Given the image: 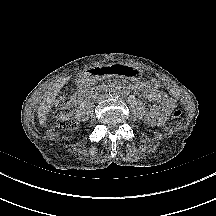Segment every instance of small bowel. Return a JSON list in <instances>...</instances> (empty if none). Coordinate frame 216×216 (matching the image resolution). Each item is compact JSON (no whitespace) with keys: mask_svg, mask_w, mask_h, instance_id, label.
<instances>
[{"mask_svg":"<svg viewBox=\"0 0 216 216\" xmlns=\"http://www.w3.org/2000/svg\"><path fill=\"white\" fill-rule=\"evenodd\" d=\"M135 89L145 95L146 98L156 103L150 109L146 122L150 126H158L165 122L169 113L175 108L176 102L165 92L161 91L160 83L155 79L138 82Z\"/></svg>","mask_w":216,"mask_h":216,"instance_id":"c3829d8e","label":"small bowel"}]
</instances>
